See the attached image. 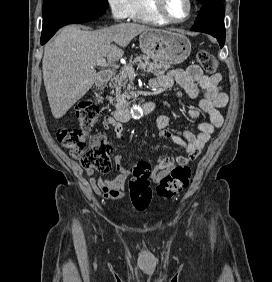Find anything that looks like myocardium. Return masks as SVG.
<instances>
[{"instance_id": "1", "label": "myocardium", "mask_w": 272, "mask_h": 282, "mask_svg": "<svg viewBox=\"0 0 272 282\" xmlns=\"http://www.w3.org/2000/svg\"><path fill=\"white\" fill-rule=\"evenodd\" d=\"M152 1V8L166 21L170 23H182L188 20L193 11V3L192 0H186L187 3V14L182 19H175L172 16L169 15L167 12L165 6H164V0H151Z\"/></svg>"}]
</instances>
